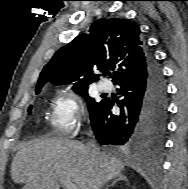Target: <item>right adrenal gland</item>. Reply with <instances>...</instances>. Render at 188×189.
Returning a JSON list of instances; mask_svg holds the SVG:
<instances>
[{
    "mask_svg": "<svg viewBox=\"0 0 188 189\" xmlns=\"http://www.w3.org/2000/svg\"><path fill=\"white\" fill-rule=\"evenodd\" d=\"M119 180H124V181H127V178L125 176H122V175H118L117 178L115 180L112 181L111 184L107 185L105 187V189H108L110 186H113L117 181Z\"/></svg>",
    "mask_w": 188,
    "mask_h": 189,
    "instance_id": "right-adrenal-gland-1",
    "label": "right adrenal gland"
}]
</instances>
